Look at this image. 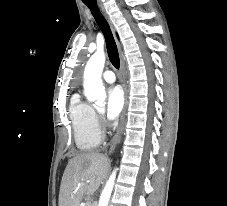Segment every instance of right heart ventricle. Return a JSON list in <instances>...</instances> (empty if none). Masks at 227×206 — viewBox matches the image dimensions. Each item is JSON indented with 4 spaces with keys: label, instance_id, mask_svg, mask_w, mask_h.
I'll use <instances>...</instances> for the list:
<instances>
[{
    "label": "right heart ventricle",
    "instance_id": "right-heart-ventricle-1",
    "mask_svg": "<svg viewBox=\"0 0 227 206\" xmlns=\"http://www.w3.org/2000/svg\"><path fill=\"white\" fill-rule=\"evenodd\" d=\"M69 116L77 148L81 151L96 148L101 136L95 123V112L92 106L76 94L70 100Z\"/></svg>",
    "mask_w": 227,
    "mask_h": 206
}]
</instances>
